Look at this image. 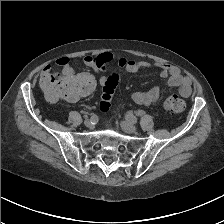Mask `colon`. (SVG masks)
<instances>
[{
  "label": "colon",
  "mask_w": 224,
  "mask_h": 224,
  "mask_svg": "<svg viewBox=\"0 0 224 224\" xmlns=\"http://www.w3.org/2000/svg\"><path fill=\"white\" fill-rule=\"evenodd\" d=\"M118 80V74H114L106 78L103 83V94L100 100V110L102 112H107L109 110ZM95 85V79L89 74H79L62 79H55L52 76L43 84L51 100L65 98L71 101L90 95L94 91ZM164 107L170 112L181 113L184 111L186 103L178 95H170L165 99Z\"/></svg>",
  "instance_id": "colon-1"
}]
</instances>
